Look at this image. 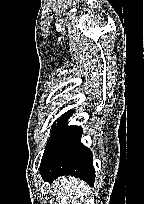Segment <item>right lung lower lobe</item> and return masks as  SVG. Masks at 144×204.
Returning <instances> with one entry per match:
<instances>
[{
    "instance_id": "right-lung-lower-lobe-1",
    "label": "right lung lower lobe",
    "mask_w": 144,
    "mask_h": 204,
    "mask_svg": "<svg viewBox=\"0 0 144 204\" xmlns=\"http://www.w3.org/2000/svg\"><path fill=\"white\" fill-rule=\"evenodd\" d=\"M70 116L71 111L63 115L54 135L49 140L41 160L40 173L45 181L71 175L93 185L95 170L92 164V153L80 142L81 127L67 126V119Z\"/></svg>"
}]
</instances>
